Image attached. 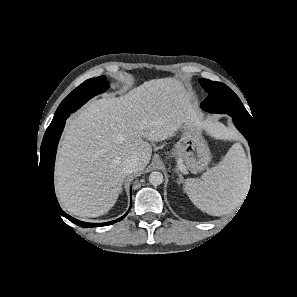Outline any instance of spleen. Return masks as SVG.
<instances>
[{
	"mask_svg": "<svg viewBox=\"0 0 297 297\" xmlns=\"http://www.w3.org/2000/svg\"><path fill=\"white\" fill-rule=\"evenodd\" d=\"M249 179L246 154L242 146L235 143L218 165L203 173L201 180L187 179L185 191L199 209L220 216L240 206L248 191Z\"/></svg>",
	"mask_w": 297,
	"mask_h": 297,
	"instance_id": "1",
	"label": "spleen"
}]
</instances>
